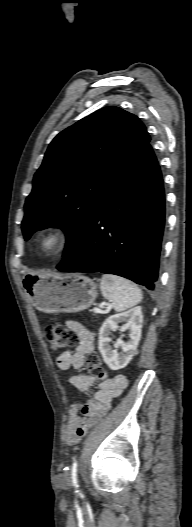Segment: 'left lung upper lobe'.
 <instances>
[{"mask_svg": "<svg viewBox=\"0 0 192 527\" xmlns=\"http://www.w3.org/2000/svg\"><path fill=\"white\" fill-rule=\"evenodd\" d=\"M150 142L144 124L116 106L102 108L51 142L25 203V239L41 229L66 231L64 256L118 176Z\"/></svg>", "mask_w": 192, "mask_h": 527, "instance_id": "1", "label": "left lung upper lobe"}]
</instances>
